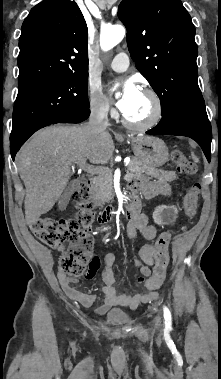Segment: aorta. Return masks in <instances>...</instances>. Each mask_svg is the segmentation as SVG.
<instances>
[{"mask_svg": "<svg viewBox=\"0 0 221 379\" xmlns=\"http://www.w3.org/2000/svg\"><path fill=\"white\" fill-rule=\"evenodd\" d=\"M125 36V29L121 25L105 26L100 34V46L104 51H108L122 41Z\"/></svg>", "mask_w": 221, "mask_h": 379, "instance_id": "762f6f07", "label": "aorta"}]
</instances>
